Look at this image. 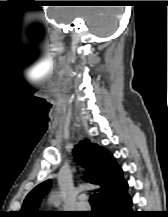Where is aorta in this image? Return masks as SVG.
<instances>
[{
	"mask_svg": "<svg viewBox=\"0 0 168 217\" xmlns=\"http://www.w3.org/2000/svg\"><path fill=\"white\" fill-rule=\"evenodd\" d=\"M63 195L59 192L52 194L49 198V201L54 205L58 206L62 200Z\"/></svg>",
	"mask_w": 168,
	"mask_h": 217,
	"instance_id": "obj_1",
	"label": "aorta"
}]
</instances>
